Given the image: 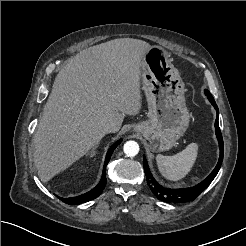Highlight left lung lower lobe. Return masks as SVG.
Returning a JSON list of instances; mask_svg holds the SVG:
<instances>
[{"mask_svg":"<svg viewBox=\"0 0 246 246\" xmlns=\"http://www.w3.org/2000/svg\"><path fill=\"white\" fill-rule=\"evenodd\" d=\"M205 95L208 97L211 104L217 110L215 129H216V136H217L219 147H220L219 161L215 169L211 172V174L198 185L191 187V188L167 189L159 185L157 181L153 178L152 174L150 173L146 158L143 157V167L146 173L147 183L151 191L161 201H164L167 203H183V202L193 201L209 186V184L213 181V179L215 178V176L217 175L221 167V164L223 161L224 146H223L222 134H221L219 124H218V107L215 103L213 96L208 90L205 91Z\"/></svg>","mask_w":246,"mask_h":246,"instance_id":"left-lung-lower-lobe-1","label":"left lung lower lobe"}]
</instances>
